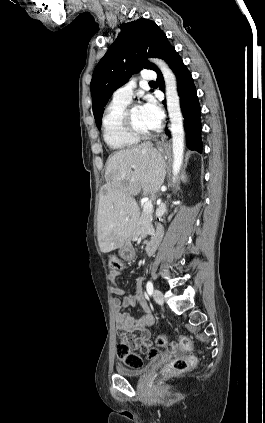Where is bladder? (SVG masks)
I'll list each match as a JSON object with an SVG mask.
<instances>
[{
    "instance_id": "bladder-1",
    "label": "bladder",
    "mask_w": 265,
    "mask_h": 423,
    "mask_svg": "<svg viewBox=\"0 0 265 423\" xmlns=\"http://www.w3.org/2000/svg\"><path fill=\"white\" fill-rule=\"evenodd\" d=\"M146 370H147L146 367L136 368V369L125 368L123 366H117L116 367L117 373L119 375L126 376V377H141V376L144 375Z\"/></svg>"
}]
</instances>
